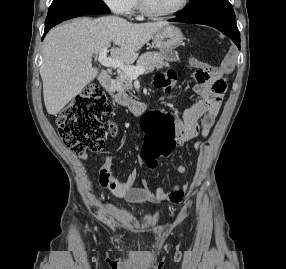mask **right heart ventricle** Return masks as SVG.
<instances>
[{
  "mask_svg": "<svg viewBox=\"0 0 286 269\" xmlns=\"http://www.w3.org/2000/svg\"><path fill=\"white\" fill-rule=\"evenodd\" d=\"M138 4H137V0H132V8H137Z\"/></svg>",
  "mask_w": 286,
  "mask_h": 269,
  "instance_id": "obj_1",
  "label": "right heart ventricle"
}]
</instances>
